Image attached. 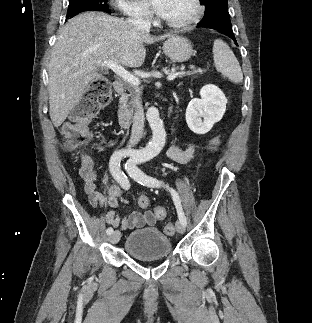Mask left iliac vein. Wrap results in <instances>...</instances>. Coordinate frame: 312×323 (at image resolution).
Segmentation results:
<instances>
[{"label":"left iliac vein","instance_id":"left-iliac-vein-1","mask_svg":"<svg viewBox=\"0 0 312 323\" xmlns=\"http://www.w3.org/2000/svg\"><path fill=\"white\" fill-rule=\"evenodd\" d=\"M176 228L178 233H184L185 232V225H183V223L181 221H177L176 222Z\"/></svg>","mask_w":312,"mask_h":323}]
</instances>
